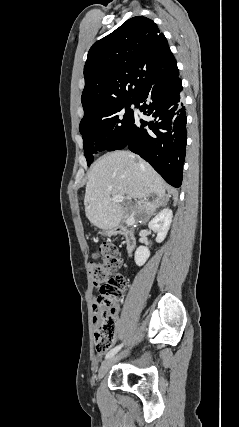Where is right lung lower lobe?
Masks as SVG:
<instances>
[{
    "instance_id": "right-lung-lower-lobe-1",
    "label": "right lung lower lobe",
    "mask_w": 239,
    "mask_h": 427,
    "mask_svg": "<svg viewBox=\"0 0 239 427\" xmlns=\"http://www.w3.org/2000/svg\"><path fill=\"white\" fill-rule=\"evenodd\" d=\"M174 76L144 89L135 106L147 116H134L125 147L143 159L173 187H180L186 151V111L182 82Z\"/></svg>"
}]
</instances>
